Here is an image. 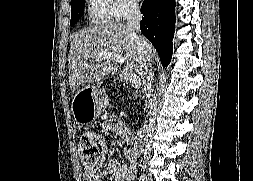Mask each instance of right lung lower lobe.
Masks as SVG:
<instances>
[{"label":"right lung lower lobe","instance_id":"1","mask_svg":"<svg viewBox=\"0 0 253 181\" xmlns=\"http://www.w3.org/2000/svg\"><path fill=\"white\" fill-rule=\"evenodd\" d=\"M175 0H144L141 32L156 48L161 63L168 66L172 57V38L175 26Z\"/></svg>","mask_w":253,"mask_h":181}]
</instances>
